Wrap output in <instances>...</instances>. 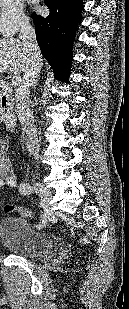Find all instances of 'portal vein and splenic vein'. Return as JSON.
Returning <instances> with one entry per match:
<instances>
[{
	"label": "portal vein and splenic vein",
	"mask_w": 129,
	"mask_h": 309,
	"mask_svg": "<svg viewBox=\"0 0 129 309\" xmlns=\"http://www.w3.org/2000/svg\"><path fill=\"white\" fill-rule=\"evenodd\" d=\"M19 84V79L17 77H13L12 79V85L17 86Z\"/></svg>",
	"instance_id": "1"
}]
</instances>
